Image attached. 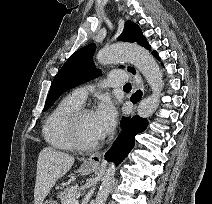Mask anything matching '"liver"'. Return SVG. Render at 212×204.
Wrapping results in <instances>:
<instances>
[{"mask_svg":"<svg viewBox=\"0 0 212 204\" xmlns=\"http://www.w3.org/2000/svg\"><path fill=\"white\" fill-rule=\"evenodd\" d=\"M74 157L52 147H45L38 156L36 182L34 188L35 204H43L56 181L63 177L74 164Z\"/></svg>","mask_w":212,"mask_h":204,"instance_id":"obj_1","label":"liver"}]
</instances>
